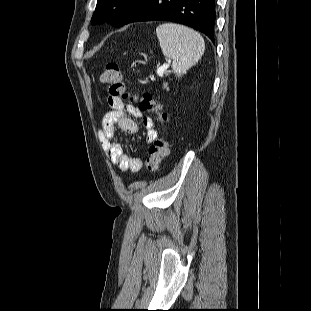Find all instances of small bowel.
I'll return each mask as SVG.
<instances>
[{
  "label": "small bowel",
  "mask_w": 311,
  "mask_h": 311,
  "mask_svg": "<svg viewBox=\"0 0 311 311\" xmlns=\"http://www.w3.org/2000/svg\"><path fill=\"white\" fill-rule=\"evenodd\" d=\"M107 104L111 110L105 114L100 129L106 153L112 164L118 169L138 172L143 166L142 159L131 157L123 151L121 144L116 140V128L127 133H136L138 125L133 118H141L146 131L145 141L151 143L158 136L155 121L152 117L143 115L133 104L120 98L107 97Z\"/></svg>",
  "instance_id": "1"
}]
</instances>
